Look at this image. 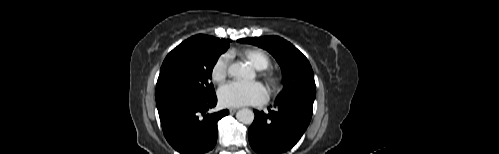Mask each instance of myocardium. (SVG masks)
<instances>
[{
	"label": "myocardium",
	"instance_id": "1",
	"mask_svg": "<svg viewBox=\"0 0 499 154\" xmlns=\"http://www.w3.org/2000/svg\"><path fill=\"white\" fill-rule=\"evenodd\" d=\"M265 80L271 87H275L278 83V77L272 70H268L263 74Z\"/></svg>",
	"mask_w": 499,
	"mask_h": 154
}]
</instances>
